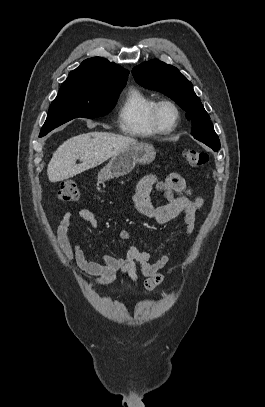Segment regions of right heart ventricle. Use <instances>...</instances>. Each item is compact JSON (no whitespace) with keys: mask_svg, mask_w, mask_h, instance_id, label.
I'll use <instances>...</instances> for the list:
<instances>
[{"mask_svg":"<svg viewBox=\"0 0 265 407\" xmlns=\"http://www.w3.org/2000/svg\"><path fill=\"white\" fill-rule=\"evenodd\" d=\"M156 100L138 88H130L120 105L118 120L121 130L133 137L147 138L158 135L151 121Z\"/></svg>","mask_w":265,"mask_h":407,"instance_id":"e07e8e85","label":"right heart ventricle"}]
</instances>
